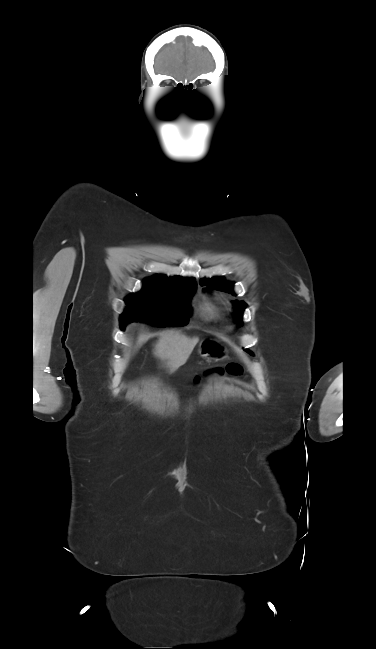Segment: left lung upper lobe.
<instances>
[{"mask_svg": "<svg viewBox=\"0 0 376 649\" xmlns=\"http://www.w3.org/2000/svg\"><path fill=\"white\" fill-rule=\"evenodd\" d=\"M200 285H209L210 287H212L214 289L221 290V291H226V292L232 293L234 295L233 283H229V282L225 281V279L223 277H214L212 279H206V278L201 279L200 280ZM244 309H245V304L243 302H237L235 317L238 320L239 324L242 323L241 315H242Z\"/></svg>", "mask_w": 376, "mask_h": 649, "instance_id": "obj_1", "label": "left lung upper lobe"}]
</instances>
